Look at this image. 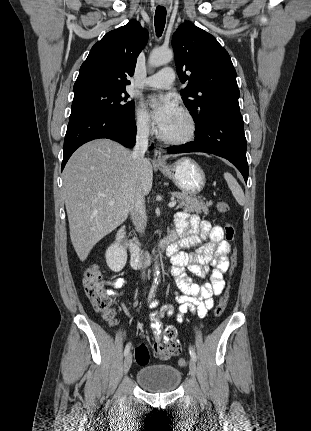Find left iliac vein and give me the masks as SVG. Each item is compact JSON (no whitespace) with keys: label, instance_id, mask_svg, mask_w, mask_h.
<instances>
[{"label":"left iliac vein","instance_id":"left-iliac-vein-1","mask_svg":"<svg viewBox=\"0 0 311 431\" xmlns=\"http://www.w3.org/2000/svg\"><path fill=\"white\" fill-rule=\"evenodd\" d=\"M189 369H190L191 375L195 376L196 372H197V367H196V363L193 359H191L189 362Z\"/></svg>","mask_w":311,"mask_h":431}]
</instances>
